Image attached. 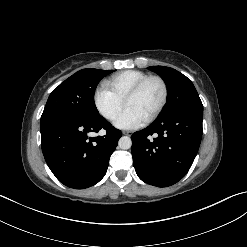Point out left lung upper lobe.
Masks as SVG:
<instances>
[{
    "mask_svg": "<svg viewBox=\"0 0 247 247\" xmlns=\"http://www.w3.org/2000/svg\"><path fill=\"white\" fill-rule=\"evenodd\" d=\"M148 69L159 74L168 87L166 107L156 120L166 118L177 111H203L202 102L189 78L170 67L152 66Z\"/></svg>",
    "mask_w": 247,
    "mask_h": 247,
    "instance_id": "left-lung-upper-lobe-1",
    "label": "left lung upper lobe"
}]
</instances>
